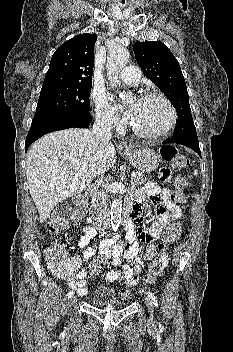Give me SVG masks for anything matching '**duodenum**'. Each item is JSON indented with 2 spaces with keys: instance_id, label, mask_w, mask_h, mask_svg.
<instances>
[{
  "instance_id": "duodenum-1",
  "label": "duodenum",
  "mask_w": 233,
  "mask_h": 352,
  "mask_svg": "<svg viewBox=\"0 0 233 352\" xmlns=\"http://www.w3.org/2000/svg\"><path fill=\"white\" fill-rule=\"evenodd\" d=\"M96 194V186L88 187L83 196V204L89 210L91 217L96 221L97 227L99 229H106L110 224V219L107 217L106 213L97 202ZM135 208L136 206L134 201L129 199L123 208L122 218L125 221L128 220L133 215Z\"/></svg>"
}]
</instances>
